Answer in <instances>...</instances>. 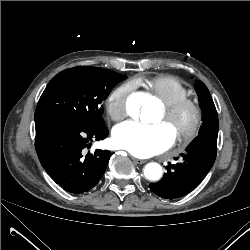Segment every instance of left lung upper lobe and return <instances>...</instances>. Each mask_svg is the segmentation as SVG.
<instances>
[{"instance_id": "obj_1", "label": "left lung upper lobe", "mask_w": 250, "mask_h": 250, "mask_svg": "<svg viewBox=\"0 0 250 250\" xmlns=\"http://www.w3.org/2000/svg\"><path fill=\"white\" fill-rule=\"evenodd\" d=\"M195 90L198 94L199 104L202 109L203 125L199 131V135L206 134L212 131H218L219 122L217 111L209 90L204 83L197 81Z\"/></svg>"}]
</instances>
